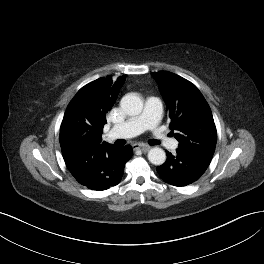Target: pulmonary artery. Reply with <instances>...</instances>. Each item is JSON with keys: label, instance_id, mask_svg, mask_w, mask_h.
<instances>
[{"label": "pulmonary artery", "instance_id": "1", "mask_svg": "<svg viewBox=\"0 0 264 264\" xmlns=\"http://www.w3.org/2000/svg\"><path fill=\"white\" fill-rule=\"evenodd\" d=\"M163 109L162 100L156 96H150L145 100V108L143 112L132 117L124 123L113 127L109 131V137L111 138H129L136 136L145 130H150L154 138L160 141L161 144L167 146H175L176 142L168 138L162 133L159 127V121L161 118Z\"/></svg>", "mask_w": 264, "mask_h": 264}]
</instances>
